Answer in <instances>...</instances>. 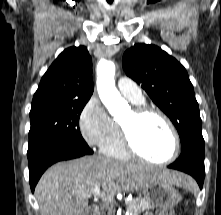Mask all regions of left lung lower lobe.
Here are the masks:
<instances>
[{"label": "left lung lower lobe", "mask_w": 221, "mask_h": 215, "mask_svg": "<svg viewBox=\"0 0 221 215\" xmlns=\"http://www.w3.org/2000/svg\"><path fill=\"white\" fill-rule=\"evenodd\" d=\"M205 147L189 146L181 152L179 158L168 168L185 172L194 177L202 189L205 169H204Z\"/></svg>", "instance_id": "obj_1"}]
</instances>
